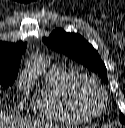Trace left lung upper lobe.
<instances>
[{
    "label": "left lung upper lobe",
    "instance_id": "1",
    "mask_svg": "<svg viewBox=\"0 0 125 128\" xmlns=\"http://www.w3.org/2000/svg\"><path fill=\"white\" fill-rule=\"evenodd\" d=\"M43 41L49 48L63 53L99 73L100 77L107 82V70L98 52L81 35L56 29L48 38H43ZM119 120L122 124H125L123 114H120Z\"/></svg>",
    "mask_w": 125,
    "mask_h": 128
}]
</instances>
